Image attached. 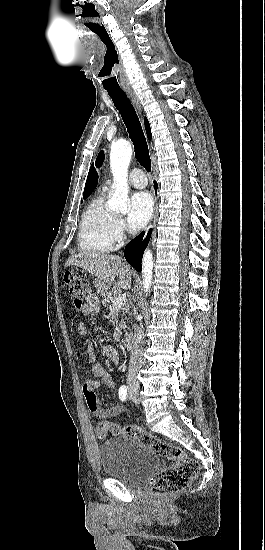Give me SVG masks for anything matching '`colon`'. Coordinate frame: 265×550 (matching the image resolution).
Instances as JSON below:
<instances>
[{
	"mask_svg": "<svg viewBox=\"0 0 265 550\" xmlns=\"http://www.w3.org/2000/svg\"><path fill=\"white\" fill-rule=\"evenodd\" d=\"M64 282L69 294L73 297V311L81 313L83 300L91 294L88 281L81 275L67 272ZM99 438H105L109 434L132 436L142 444L150 447L157 455L169 460L171 466L160 470L152 482V495L164 497L177 493L184 489L199 473V464L191 456L183 452L173 444L155 437L151 433L135 426H119L108 419H102L96 426Z\"/></svg>",
	"mask_w": 265,
	"mask_h": 550,
	"instance_id": "obj_1",
	"label": "colon"
}]
</instances>
